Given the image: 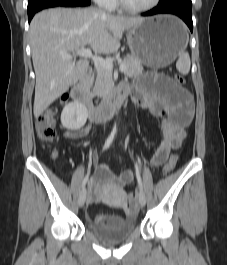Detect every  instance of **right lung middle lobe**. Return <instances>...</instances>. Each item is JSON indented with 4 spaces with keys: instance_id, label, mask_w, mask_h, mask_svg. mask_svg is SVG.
<instances>
[{
    "instance_id": "obj_1",
    "label": "right lung middle lobe",
    "mask_w": 227,
    "mask_h": 265,
    "mask_svg": "<svg viewBox=\"0 0 227 265\" xmlns=\"http://www.w3.org/2000/svg\"><path fill=\"white\" fill-rule=\"evenodd\" d=\"M42 0H29L28 1V8L34 7L36 6L39 2H41Z\"/></svg>"
}]
</instances>
